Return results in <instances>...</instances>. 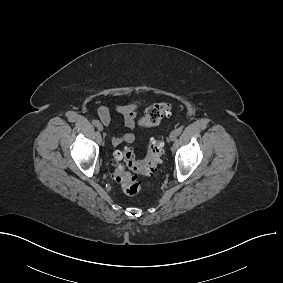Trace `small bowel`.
<instances>
[{"label": "small bowel", "instance_id": "1", "mask_svg": "<svg viewBox=\"0 0 283 283\" xmlns=\"http://www.w3.org/2000/svg\"><path fill=\"white\" fill-rule=\"evenodd\" d=\"M115 111L121 115L124 125L129 129H134L136 126V116L138 114V104L129 103V104H117L115 105ZM98 116L101 122L104 125H109L112 122V114L110 110L101 106L98 109ZM135 141V135L132 132L124 133L123 135L114 136L112 138V145L118 146L122 143H132Z\"/></svg>", "mask_w": 283, "mask_h": 283}]
</instances>
